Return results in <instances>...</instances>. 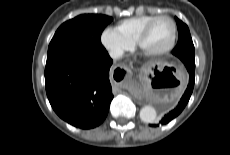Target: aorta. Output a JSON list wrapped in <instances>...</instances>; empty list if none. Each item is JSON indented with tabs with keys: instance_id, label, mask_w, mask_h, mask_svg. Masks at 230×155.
I'll list each match as a JSON object with an SVG mask.
<instances>
[{
	"instance_id": "aorta-1",
	"label": "aorta",
	"mask_w": 230,
	"mask_h": 155,
	"mask_svg": "<svg viewBox=\"0 0 230 155\" xmlns=\"http://www.w3.org/2000/svg\"><path fill=\"white\" fill-rule=\"evenodd\" d=\"M157 118V112L154 107L150 105L144 106L140 110V119L145 123H154Z\"/></svg>"
}]
</instances>
